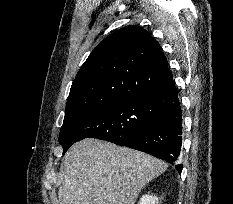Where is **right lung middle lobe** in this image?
I'll list each match as a JSON object with an SVG mask.
<instances>
[{
  "mask_svg": "<svg viewBox=\"0 0 233 204\" xmlns=\"http://www.w3.org/2000/svg\"><path fill=\"white\" fill-rule=\"evenodd\" d=\"M151 101L152 96L119 100L75 118L60 131L63 154L73 143L84 138L112 142L122 135L147 128L159 119Z\"/></svg>",
  "mask_w": 233,
  "mask_h": 204,
  "instance_id": "dd1d6c3e",
  "label": "right lung middle lobe"
}]
</instances>
